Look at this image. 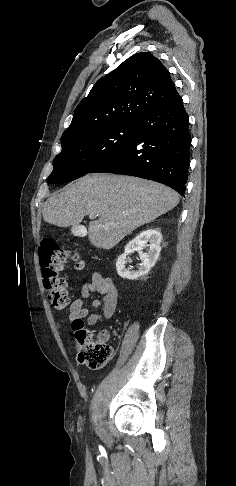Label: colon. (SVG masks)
<instances>
[{
    "instance_id": "5ec220e1",
    "label": "colon",
    "mask_w": 236,
    "mask_h": 486,
    "mask_svg": "<svg viewBox=\"0 0 236 486\" xmlns=\"http://www.w3.org/2000/svg\"><path fill=\"white\" fill-rule=\"evenodd\" d=\"M69 258L75 261L77 269L83 267V262L77 254L60 247L53 240H46L40 246L39 260L43 284L47 290L49 302L55 310L65 309L70 302L66 283L58 275ZM72 329L73 343L80 363L93 369L103 367L111 357L110 345L104 340L95 339L80 319L73 322Z\"/></svg>"
}]
</instances>
